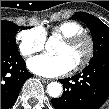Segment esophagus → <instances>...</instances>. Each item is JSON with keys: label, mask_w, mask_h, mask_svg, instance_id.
Masks as SVG:
<instances>
[{"label": "esophagus", "mask_w": 109, "mask_h": 109, "mask_svg": "<svg viewBox=\"0 0 109 109\" xmlns=\"http://www.w3.org/2000/svg\"><path fill=\"white\" fill-rule=\"evenodd\" d=\"M43 83H49L51 80L46 78H40Z\"/></svg>", "instance_id": "esophagus-1"}]
</instances>
